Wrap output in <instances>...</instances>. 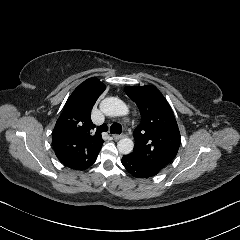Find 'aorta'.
I'll return each instance as SVG.
<instances>
[{"instance_id":"aorta-1","label":"aorta","mask_w":240,"mask_h":240,"mask_svg":"<svg viewBox=\"0 0 240 240\" xmlns=\"http://www.w3.org/2000/svg\"><path fill=\"white\" fill-rule=\"evenodd\" d=\"M100 109L106 116L125 117L130 112L127 104L117 97L105 98L100 103ZM117 148L120 153L129 154L133 151L134 141L128 137L122 138L118 141Z\"/></svg>"}]
</instances>
